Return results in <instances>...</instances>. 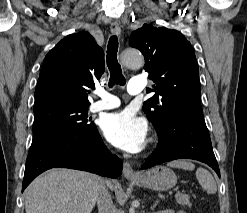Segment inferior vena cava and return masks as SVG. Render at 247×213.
Returning <instances> with one entry per match:
<instances>
[{
    "label": "inferior vena cava",
    "mask_w": 247,
    "mask_h": 213,
    "mask_svg": "<svg viewBox=\"0 0 247 213\" xmlns=\"http://www.w3.org/2000/svg\"><path fill=\"white\" fill-rule=\"evenodd\" d=\"M110 182L102 180L97 194L98 213H117L116 207L113 204L108 187Z\"/></svg>",
    "instance_id": "1"
}]
</instances>
